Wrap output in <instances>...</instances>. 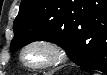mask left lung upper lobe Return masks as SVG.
Returning a JSON list of instances; mask_svg holds the SVG:
<instances>
[{"label":"left lung upper lobe","mask_w":107,"mask_h":75,"mask_svg":"<svg viewBox=\"0 0 107 75\" xmlns=\"http://www.w3.org/2000/svg\"><path fill=\"white\" fill-rule=\"evenodd\" d=\"M88 0H22L13 30L11 51L35 40H48L62 46L68 56H81L86 43L78 35L86 15L96 11Z\"/></svg>","instance_id":"5c2ea615"}]
</instances>
